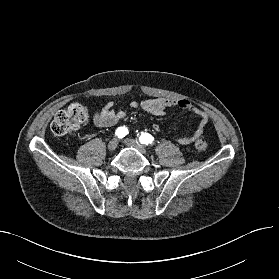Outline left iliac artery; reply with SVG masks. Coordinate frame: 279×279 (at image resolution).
<instances>
[{
  "label": "left iliac artery",
  "instance_id": "44dca946",
  "mask_svg": "<svg viewBox=\"0 0 279 279\" xmlns=\"http://www.w3.org/2000/svg\"><path fill=\"white\" fill-rule=\"evenodd\" d=\"M139 140L142 144L151 145L154 143V137L148 133H142L139 137Z\"/></svg>",
  "mask_w": 279,
  "mask_h": 279
}]
</instances>
